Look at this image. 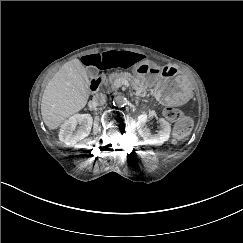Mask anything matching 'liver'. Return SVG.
<instances>
[{"label": "liver", "mask_w": 243, "mask_h": 243, "mask_svg": "<svg viewBox=\"0 0 243 243\" xmlns=\"http://www.w3.org/2000/svg\"><path fill=\"white\" fill-rule=\"evenodd\" d=\"M90 81L78 58L65 63L48 81L41 115L50 130L58 129L70 116L83 109L89 99Z\"/></svg>", "instance_id": "obj_1"}]
</instances>
